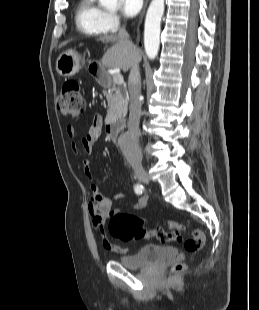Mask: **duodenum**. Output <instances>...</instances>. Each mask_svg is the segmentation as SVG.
Masks as SVG:
<instances>
[{"label": "duodenum", "mask_w": 259, "mask_h": 310, "mask_svg": "<svg viewBox=\"0 0 259 310\" xmlns=\"http://www.w3.org/2000/svg\"><path fill=\"white\" fill-rule=\"evenodd\" d=\"M89 71L93 76L98 78L103 85L109 84L110 80L108 76L101 71V68L97 64H94L92 66L90 65ZM119 129L120 124L117 122L108 121L106 124V133L112 140H115L117 138Z\"/></svg>", "instance_id": "1"}]
</instances>
